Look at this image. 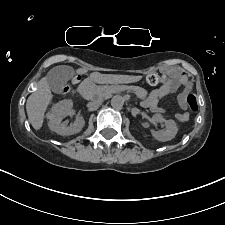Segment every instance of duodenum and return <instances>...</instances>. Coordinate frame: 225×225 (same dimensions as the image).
I'll use <instances>...</instances> for the list:
<instances>
[{"label":"duodenum","instance_id":"1","mask_svg":"<svg viewBox=\"0 0 225 225\" xmlns=\"http://www.w3.org/2000/svg\"><path fill=\"white\" fill-rule=\"evenodd\" d=\"M91 85H92V83L88 82L86 87L89 88V87H91Z\"/></svg>","mask_w":225,"mask_h":225}]
</instances>
